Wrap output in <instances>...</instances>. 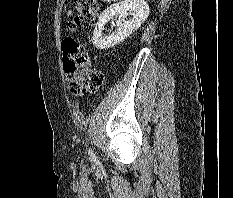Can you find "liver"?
Masks as SVG:
<instances>
[{
  "label": "liver",
  "mask_w": 233,
  "mask_h": 198,
  "mask_svg": "<svg viewBox=\"0 0 233 198\" xmlns=\"http://www.w3.org/2000/svg\"><path fill=\"white\" fill-rule=\"evenodd\" d=\"M102 2H116L118 0H101Z\"/></svg>",
  "instance_id": "1"
}]
</instances>
